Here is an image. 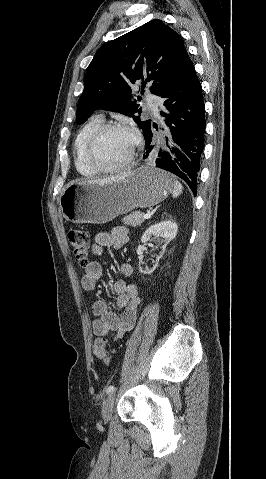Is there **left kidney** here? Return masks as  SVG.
I'll return each mask as SVG.
<instances>
[{
    "label": "left kidney",
    "mask_w": 266,
    "mask_h": 479,
    "mask_svg": "<svg viewBox=\"0 0 266 479\" xmlns=\"http://www.w3.org/2000/svg\"><path fill=\"white\" fill-rule=\"evenodd\" d=\"M177 224L170 220L162 221L155 225L150 226L142 235L141 242L146 243L150 240L152 236H156L158 234H163L164 238V245L162 247L163 252L166 249L167 244L176 237L177 234ZM143 247L137 248V254H141L143 252ZM157 265L153 267L151 270H143V268L139 265V271L143 274H151L156 269Z\"/></svg>",
    "instance_id": "5707ae66"
}]
</instances>
